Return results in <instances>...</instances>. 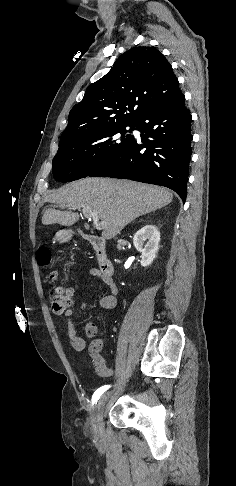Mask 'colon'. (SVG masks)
<instances>
[{
  "label": "colon",
  "mask_w": 236,
  "mask_h": 486,
  "mask_svg": "<svg viewBox=\"0 0 236 486\" xmlns=\"http://www.w3.org/2000/svg\"><path fill=\"white\" fill-rule=\"evenodd\" d=\"M39 262L46 266L51 261V254L47 248L40 249L38 253ZM49 280L54 282L58 278L57 272L49 274ZM72 290L64 286H55L49 292L52 310L55 313H63L72 303Z\"/></svg>",
  "instance_id": "colon-1"
}]
</instances>
